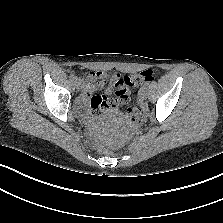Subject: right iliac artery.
<instances>
[{"label": "right iliac artery", "instance_id": "1", "mask_svg": "<svg viewBox=\"0 0 223 223\" xmlns=\"http://www.w3.org/2000/svg\"><path fill=\"white\" fill-rule=\"evenodd\" d=\"M70 77H71L72 79H74V80H78L77 77H76L74 74H71Z\"/></svg>", "mask_w": 223, "mask_h": 223}]
</instances>
